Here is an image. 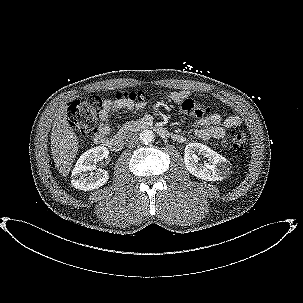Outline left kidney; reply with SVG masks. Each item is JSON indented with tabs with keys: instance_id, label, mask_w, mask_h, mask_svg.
<instances>
[{
	"instance_id": "5707ae66",
	"label": "left kidney",
	"mask_w": 303,
	"mask_h": 303,
	"mask_svg": "<svg viewBox=\"0 0 303 303\" xmlns=\"http://www.w3.org/2000/svg\"><path fill=\"white\" fill-rule=\"evenodd\" d=\"M195 152L207 158L208 162L200 163ZM184 162L187 170L192 175L206 181L222 180L230 172L229 161L201 143H189L186 145Z\"/></svg>"
}]
</instances>
